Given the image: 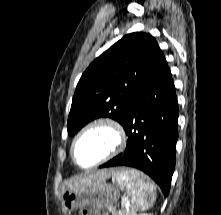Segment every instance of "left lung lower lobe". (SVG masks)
I'll use <instances>...</instances> for the list:
<instances>
[{"label": "left lung lower lobe", "mask_w": 221, "mask_h": 215, "mask_svg": "<svg viewBox=\"0 0 221 215\" xmlns=\"http://www.w3.org/2000/svg\"><path fill=\"white\" fill-rule=\"evenodd\" d=\"M177 120L174 81L161 51L125 108L121 123L128 136L125 152L100 168H137L148 174L167 196L175 169Z\"/></svg>", "instance_id": "obj_1"}]
</instances>
